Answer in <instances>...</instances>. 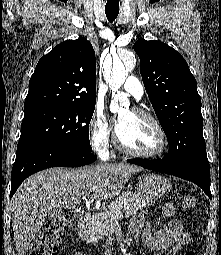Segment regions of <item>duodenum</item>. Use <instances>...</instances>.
Here are the masks:
<instances>
[{
    "mask_svg": "<svg viewBox=\"0 0 221 255\" xmlns=\"http://www.w3.org/2000/svg\"><path fill=\"white\" fill-rule=\"evenodd\" d=\"M89 219L90 217L85 211H79L74 215L75 222L83 228H87L89 226Z\"/></svg>",
    "mask_w": 221,
    "mask_h": 255,
    "instance_id": "duodenum-1",
    "label": "duodenum"
}]
</instances>
